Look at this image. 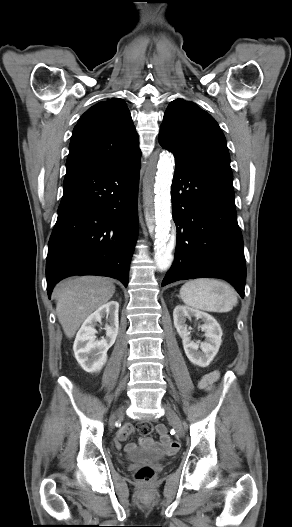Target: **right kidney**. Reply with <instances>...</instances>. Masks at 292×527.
I'll use <instances>...</instances> for the list:
<instances>
[{"label":"right kidney","instance_id":"ca27d5eb","mask_svg":"<svg viewBox=\"0 0 292 527\" xmlns=\"http://www.w3.org/2000/svg\"><path fill=\"white\" fill-rule=\"evenodd\" d=\"M118 311L119 303L110 301L99 307L83 323L78 331L73 350L75 358L80 366L89 373L97 372L102 369L107 361V351L115 343L118 329ZM108 320L109 324L105 326L106 337L96 340L97 322L102 318Z\"/></svg>","mask_w":292,"mask_h":527}]
</instances>
